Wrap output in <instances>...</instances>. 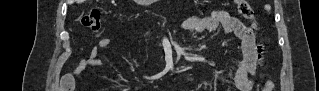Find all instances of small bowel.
<instances>
[{
	"label": "small bowel",
	"instance_id": "obj_1",
	"mask_svg": "<svg viewBox=\"0 0 319 91\" xmlns=\"http://www.w3.org/2000/svg\"><path fill=\"white\" fill-rule=\"evenodd\" d=\"M182 29L198 34L206 32L224 31L226 34L235 35L237 44V58L233 62L234 83L239 91H251L254 86L253 77L262 65L263 47L256 40L254 32L237 18L225 11H214L204 18L189 17ZM109 38H102L97 46L92 48L87 58L77 65L75 71H84L90 66H102L103 60L99 59V51L111 46Z\"/></svg>",
	"mask_w": 319,
	"mask_h": 91
}]
</instances>
